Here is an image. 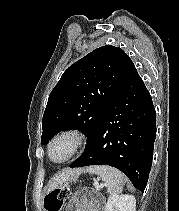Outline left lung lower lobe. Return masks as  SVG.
Returning <instances> with one entry per match:
<instances>
[{
  "label": "left lung lower lobe",
  "mask_w": 179,
  "mask_h": 211,
  "mask_svg": "<svg viewBox=\"0 0 179 211\" xmlns=\"http://www.w3.org/2000/svg\"><path fill=\"white\" fill-rule=\"evenodd\" d=\"M156 114L149 91L133 65L102 115L83 154L70 167L109 165L144 191L151 170Z\"/></svg>",
  "instance_id": "obj_1"
}]
</instances>
